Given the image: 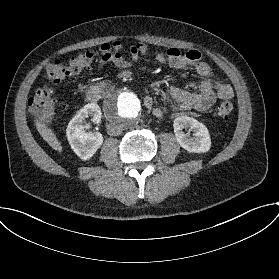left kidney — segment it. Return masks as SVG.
<instances>
[{"label":"left kidney","mask_w":279,"mask_h":279,"mask_svg":"<svg viewBox=\"0 0 279 279\" xmlns=\"http://www.w3.org/2000/svg\"><path fill=\"white\" fill-rule=\"evenodd\" d=\"M185 127L194 131L193 137H187ZM173 129L178 144L188 153H207L211 149V137L205 124L189 116H178L174 120Z\"/></svg>","instance_id":"5707ae66"}]
</instances>
